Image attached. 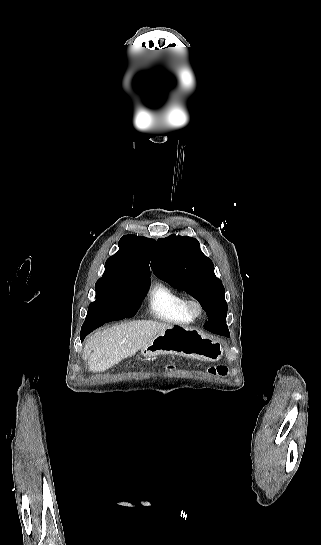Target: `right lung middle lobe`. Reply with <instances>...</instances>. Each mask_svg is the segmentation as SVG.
I'll list each match as a JSON object with an SVG mask.
<instances>
[{
    "mask_svg": "<svg viewBox=\"0 0 321 545\" xmlns=\"http://www.w3.org/2000/svg\"><path fill=\"white\" fill-rule=\"evenodd\" d=\"M149 289V285L137 286L132 288L119 287L108 283L106 280L100 278L96 285V300L89 305L88 313L86 317V323H91L96 319L97 309L102 305L112 300L115 297L124 294L136 295L143 299Z\"/></svg>",
    "mask_w": 321,
    "mask_h": 545,
    "instance_id": "dd1d6c3e",
    "label": "right lung middle lobe"
}]
</instances>
